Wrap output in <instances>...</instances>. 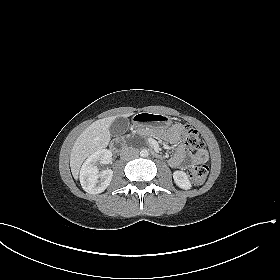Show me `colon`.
I'll list each match as a JSON object with an SVG mask.
<instances>
[{"label":"colon","instance_id":"1","mask_svg":"<svg viewBox=\"0 0 280 280\" xmlns=\"http://www.w3.org/2000/svg\"><path fill=\"white\" fill-rule=\"evenodd\" d=\"M182 136L191 150H201L203 148V142L195 128L188 125L184 126ZM207 174L208 166L205 164L193 166L188 170V176L194 184H202L206 180Z\"/></svg>","mask_w":280,"mask_h":280}]
</instances>
